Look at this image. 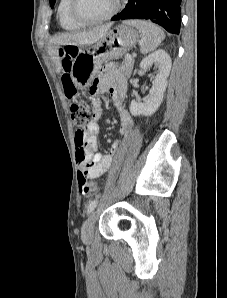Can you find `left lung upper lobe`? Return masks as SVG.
<instances>
[{
	"label": "left lung upper lobe",
	"mask_w": 227,
	"mask_h": 298,
	"mask_svg": "<svg viewBox=\"0 0 227 298\" xmlns=\"http://www.w3.org/2000/svg\"><path fill=\"white\" fill-rule=\"evenodd\" d=\"M55 1H56V0H50V5H51L52 8H53V6H54V4H55Z\"/></svg>",
	"instance_id": "1"
}]
</instances>
